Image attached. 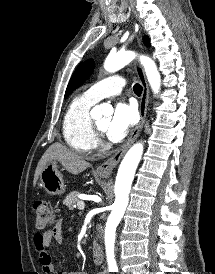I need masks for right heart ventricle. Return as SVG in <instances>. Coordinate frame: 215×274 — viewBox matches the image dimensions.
<instances>
[{
	"label": "right heart ventricle",
	"instance_id": "right-heart-ventricle-1",
	"mask_svg": "<svg viewBox=\"0 0 215 274\" xmlns=\"http://www.w3.org/2000/svg\"><path fill=\"white\" fill-rule=\"evenodd\" d=\"M95 101L85 94L72 99L65 112L62 132L67 145L80 153H88L96 145V134L92 128L90 109Z\"/></svg>",
	"mask_w": 215,
	"mask_h": 274
}]
</instances>
